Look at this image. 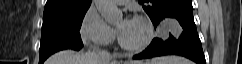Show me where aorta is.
I'll return each instance as SVG.
<instances>
[{
    "instance_id": "obj_1",
    "label": "aorta",
    "mask_w": 242,
    "mask_h": 64,
    "mask_svg": "<svg viewBox=\"0 0 242 64\" xmlns=\"http://www.w3.org/2000/svg\"><path fill=\"white\" fill-rule=\"evenodd\" d=\"M101 16L108 23H116L122 18V11L118 9L114 0H94Z\"/></svg>"
}]
</instances>
